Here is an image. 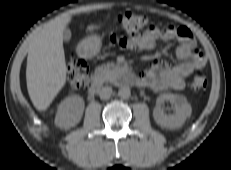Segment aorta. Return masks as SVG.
I'll list each match as a JSON object with an SVG mask.
<instances>
[{"label":"aorta","mask_w":231,"mask_h":170,"mask_svg":"<svg viewBox=\"0 0 231 170\" xmlns=\"http://www.w3.org/2000/svg\"><path fill=\"white\" fill-rule=\"evenodd\" d=\"M118 96L122 99H128L131 96V91L128 87H121L118 91Z\"/></svg>","instance_id":"762f6f07"}]
</instances>
